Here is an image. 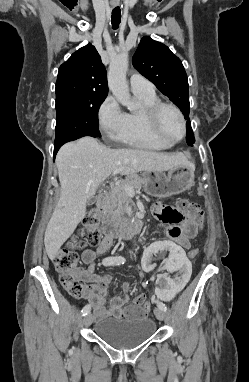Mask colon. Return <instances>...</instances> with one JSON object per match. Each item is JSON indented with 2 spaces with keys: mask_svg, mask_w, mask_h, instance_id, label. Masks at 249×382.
I'll use <instances>...</instances> for the list:
<instances>
[{
  "mask_svg": "<svg viewBox=\"0 0 249 382\" xmlns=\"http://www.w3.org/2000/svg\"><path fill=\"white\" fill-rule=\"evenodd\" d=\"M179 207L189 217L194 218L199 223L203 220L202 211L189 200H182ZM169 216V211L165 212ZM84 229L82 236L86 243L90 245H97L102 239V234L99 229V219L96 210L88 213L83 219ZM78 241L76 239L69 240L65 246L60 249L53 257V264L56 272L60 275V281L64 289L74 298H81L86 292V284L77 273L78 255H77ZM199 250L197 248L189 251L191 258L197 257ZM135 305L148 307L145 294L141 293L135 298Z\"/></svg>",
  "mask_w": 249,
  "mask_h": 382,
  "instance_id": "5ec220e1",
  "label": "colon"
}]
</instances>
